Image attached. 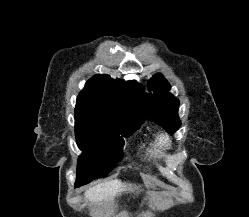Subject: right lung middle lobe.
<instances>
[{"label":"right lung middle lobe","mask_w":249,"mask_h":217,"mask_svg":"<svg viewBox=\"0 0 249 217\" xmlns=\"http://www.w3.org/2000/svg\"><path fill=\"white\" fill-rule=\"evenodd\" d=\"M140 125L129 126L117 118L87 107L75 108V136L82 151L77 180L87 184L105 177L122 158L124 137Z\"/></svg>","instance_id":"1"}]
</instances>
